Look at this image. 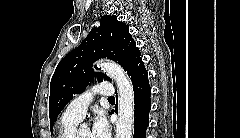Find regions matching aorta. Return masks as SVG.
<instances>
[{
    "instance_id": "aorta-1",
    "label": "aorta",
    "mask_w": 240,
    "mask_h": 138,
    "mask_svg": "<svg viewBox=\"0 0 240 138\" xmlns=\"http://www.w3.org/2000/svg\"><path fill=\"white\" fill-rule=\"evenodd\" d=\"M100 67L112 78L118 89V116L116 138H132L134 128V90L123 68L112 61H99Z\"/></svg>"
}]
</instances>
